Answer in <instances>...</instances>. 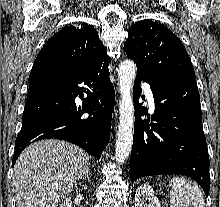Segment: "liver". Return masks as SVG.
<instances>
[{"instance_id":"obj_1","label":"liver","mask_w":220,"mask_h":207,"mask_svg":"<svg viewBox=\"0 0 220 207\" xmlns=\"http://www.w3.org/2000/svg\"><path fill=\"white\" fill-rule=\"evenodd\" d=\"M89 166V155L74 144L47 139L29 145L14 166L17 207H57Z\"/></svg>"}]
</instances>
